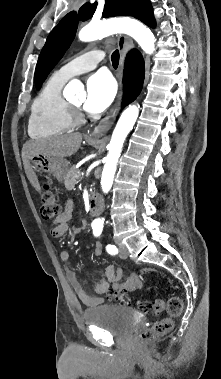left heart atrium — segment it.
Segmentation results:
<instances>
[{
  "instance_id": "39dd6f15",
  "label": "left heart atrium",
  "mask_w": 221,
  "mask_h": 379,
  "mask_svg": "<svg viewBox=\"0 0 221 379\" xmlns=\"http://www.w3.org/2000/svg\"><path fill=\"white\" fill-rule=\"evenodd\" d=\"M116 91V83L109 74L95 73L87 80L85 110L91 113L104 111L114 100Z\"/></svg>"
}]
</instances>
